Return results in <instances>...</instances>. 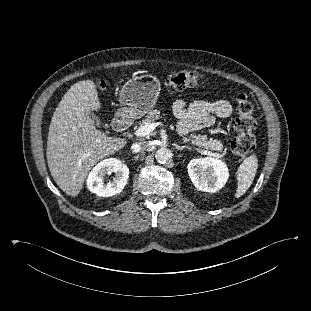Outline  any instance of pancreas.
Segmentation results:
<instances>
[{
    "label": "pancreas",
    "instance_id": "pancreas-1",
    "mask_svg": "<svg viewBox=\"0 0 311 311\" xmlns=\"http://www.w3.org/2000/svg\"><path fill=\"white\" fill-rule=\"evenodd\" d=\"M161 118L160 111L158 110H151L142 120L140 125H145L147 123H152L155 120H159ZM193 145L201 148L202 150H211V151H220L223 148V144L216 140V139H208L206 135H195L191 134L190 138L188 139Z\"/></svg>",
    "mask_w": 311,
    "mask_h": 311
}]
</instances>
